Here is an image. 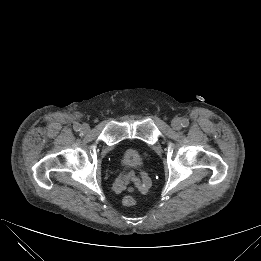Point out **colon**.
Here are the masks:
<instances>
[{
	"instance_id": "5ec220e1",
	"label": "colon",
	"mask_w": 261,
	"mask_h": 261,
	"mask_svg": "<svg viewBox=\"0 0 261 261\" xmlns=\"http://www.w3.org/2000/svg\"><path fill=\"white\" fill-rule=\"evenodd\" d=\"M122 202H123V205L130 207V206H134L136 204L137 199L132 195H127L123 198Z\"/></svg>"
}]
</instances>
